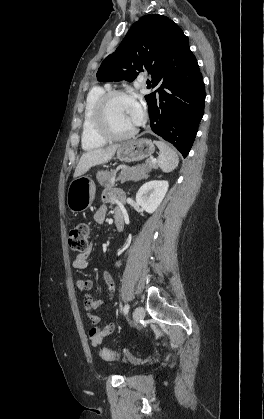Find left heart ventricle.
<instances>
[{"instance_id": "left-heart-ventricle-1", "label": "left heart ventricle", "mask_w": 264, "mask_h": 419, "mask_svg": "<svg viewBox=\"0 0 264 419\" xmlns=\"http://www.w3.org/2000/svg\"><path fill=\"white\" fill-rule=\"evenodd\" d=\"M108 119L112 130L123 133L135 127L131 115V98L118 97L108 107Z\"/></svg>"}]
</instances>
